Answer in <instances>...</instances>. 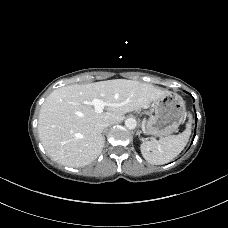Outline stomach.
Instances as JSON below:
<instances>
[{"instance_id":"obj_1","label":"stomach","mask_w":228,"mask_h":228,"mask_svg":"<svg viewBox=\"0 0 228 228\" xmlns=\"http://www.w3.org/2000/svg\"><path fill=\"white\" fill-rule=\"evenodd\" d=\"M155 112L145 123L148 135L167 137L178 130L185 119V102L176 93L168 92L152 104Z\"/></svg>"}]
</instances>
